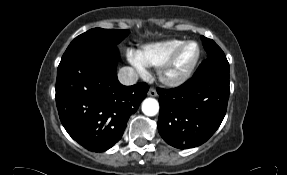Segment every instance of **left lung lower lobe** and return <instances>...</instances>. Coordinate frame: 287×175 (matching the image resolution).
<instances>
[{
  "mask_svg": "<svg viewBox=\"0 0 287 175\" xmlns=\"http://www.w3.org/2000/svg\"><path fill=\"white\" fill-rule=\"evenodd\" d=\"M229 78H191L183 85L157 89L160 94L158 130L171 146L187 149L206 142L220 126L230 94Z\"/></svg>",
  "mask_w": 287,
  "mask_h": 175,
  "instance_id": "1",
  "label": "left lung lower lobe"
}]
</instances>
